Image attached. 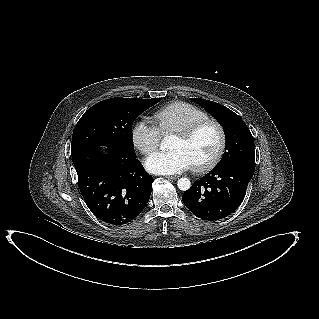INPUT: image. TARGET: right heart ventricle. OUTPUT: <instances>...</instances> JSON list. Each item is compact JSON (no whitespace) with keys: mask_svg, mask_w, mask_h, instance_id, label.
Returning a JSON list of instances; mask_svg holds the SVG:
<instances>
[{"mask_svg":"<svg viewBox=\"0 0 319 319\" xmlns=\"http://www.w3.org/2000/svg\"><path fill=\"white\" fill-rule=\"evenodd\" d=\"M208 115L198 107L186 102L167 104L152 114V120L160 134L180 131L189 125L207 119Z\"/></svg>","mask_w":319,"mask_h":319,"instance_id":"e07e8e85","label":"right heart ventricle"}]
</instances>
